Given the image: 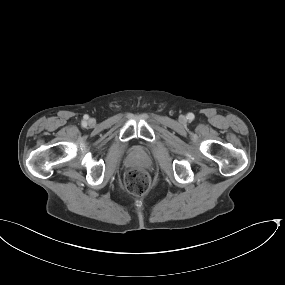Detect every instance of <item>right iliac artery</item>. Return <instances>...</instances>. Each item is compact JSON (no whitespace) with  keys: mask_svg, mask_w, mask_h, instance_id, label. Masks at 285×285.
<instances>
[{"mask_svg":"<svg viewBox=\"0 0 285 285\" xmlns=\"http://www.w3.org/2000/svg\"><path fill=\"white\" fill-rule=\"evenodd\" d=\"M84 118H85V119H88V116H87V115H85V116H84ZM83 124H85V122H83Z\"/></svg>","mask_w":285,"mask_h":285,"instance_id":"82829eb1","label":"right iliac artery"}]
</instances>
